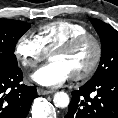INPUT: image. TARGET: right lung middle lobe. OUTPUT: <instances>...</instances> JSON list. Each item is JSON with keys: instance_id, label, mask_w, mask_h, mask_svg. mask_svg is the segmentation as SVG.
<instances>
[{"instance_id": "dd1d6c3e", "label": "right lung middle lobe", "mask_w": 118, "mask_h": 118, "mask_svg": "<svg viewBox=\"0 0 118 118\" xmlns=\"http://www.w3.org/2000/svg\"><path fill=\"white\" fill-rule=\"evenodd\" d=\"M29 28L30 24L23 21L0 19V68L17 67L15 45Z\"/></svg>"}]
</instances>
